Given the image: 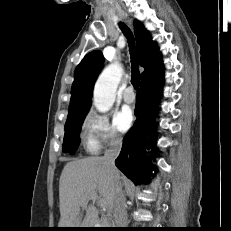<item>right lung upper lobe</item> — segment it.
Wrapping results in <instances>:
<instances>
[{
    "label": "right lung upper lobe",
    "mask_w": 231,
    "mask_h": 231,
    "mask_svg": "<svg viewBox=\"0 0 231 231\" xmlns=\"http://www.w3.org/2000/svg\"><path fill=\"white\" fill-rule=\"evenodd\" d=\"M134 29L138 60L140 65L145 68L141 73V82H143L160 74L164 67L157 44L151 40V35L143 24L135 20ZM103 60L102 52L96 50L88 53L76 67L68 115L89 110L94 82L102 68Z\"/></svg>",
    "instance_id": "cb5924a9"
}]
</instances>
